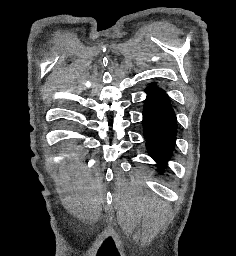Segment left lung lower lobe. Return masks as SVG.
<instances>
[{
	"label": "left lung lower lobe",
	"instance_id": "obj_1",
	"mask_svg": "<svg viewBox=\"0 0 236 256\" xmlns=\"http://www.w3.org/2000/svg\"><path fill=\"white\" fill-rule=\"evenodd\" d=\"M143 110V127L149 154L164 168L176 140V117L164 91L150 86Z\"/></svg>",
	"mask_w": 236,
	"mask_h": 256
}]
</instances>
